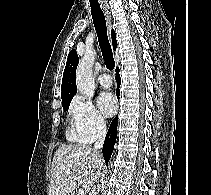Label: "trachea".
Listing matches in <instances>:
<instances>
[{
	"label": "trachea",
	"mask_w": 211,
	"mask_h": 195,
	"mask_svg": "<svg viewBox=\"0 0 211 195\" xmlns=\"http://www.w3.org/2000/svg\"><path fill=\"white\" fill-rule=\"evenodd\" d=\"M91 15L93 19V24L98 36L99 46L102 52L103 59L109 70L114 69L115 61L113 58V53L111 45L107 36V27L104 13L98 2L90 0Z\"/></svg>",
	"instance_id": "obj_1"
}]
</instances>
